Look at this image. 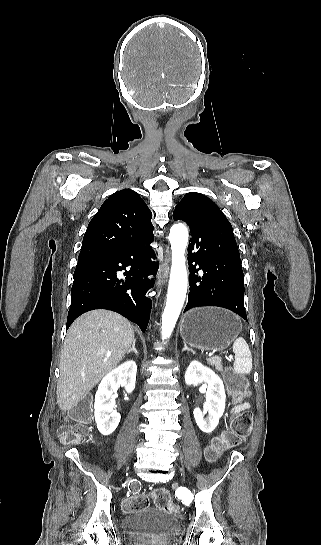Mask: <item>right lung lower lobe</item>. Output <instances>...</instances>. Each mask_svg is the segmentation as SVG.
Returning a JSON list of instances; mask_svg holds the SVG:
<instances>
[{
    "instance_id": "obj_1",
    "label": "right lung lower lobe",
    "mask_w": 321,
    "mask_h": 545,
    "mask_svg": "<svg viewBox=\"0 0 321 545\" xmlns=\"http://www.w3.org/2000/svg\"><path fill=\"white\" fill-rule=\"evenodd\" d=\"M153 240L150 235L119 252L78 260L67 329L87 311L108 309L128 318L145 332L151 310V300L146 293L153 285L148 276L158 270V263L150 260L154 257L150 247ZM119 270H125V281L117 278Z\"/></svg>"
}]
</instances>
